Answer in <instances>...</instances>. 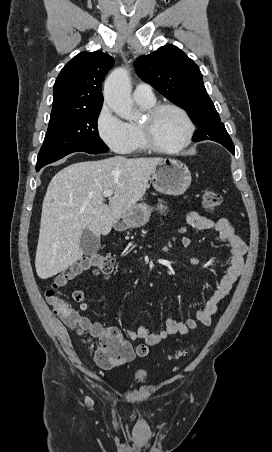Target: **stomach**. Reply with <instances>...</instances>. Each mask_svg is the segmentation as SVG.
Returning <instances> with one entry per match:
<instances>
[{"label":"stomach","mask_w":272,"mask_h":452,"mask_svg":"<svg viewBox=\"0 0 272 452\" xmlns=\"http://www.w3.org/2000/svg\"><path fill=\"white\" fill-rule=\"evenodd\" d=\"M191 180L188 167L174 158H161L154 166L150 178L157 192L170 196L182 195L190 186ZM157 207L161 212L167 210V206L161 202ZM152 210L153 208L147 204H135L120 217L119 228H137L145 225L150 219Z\"/></svg>","instance_id":"1"}]
</instances>
